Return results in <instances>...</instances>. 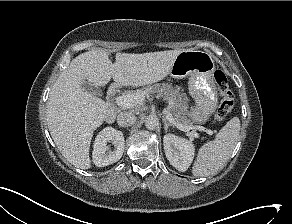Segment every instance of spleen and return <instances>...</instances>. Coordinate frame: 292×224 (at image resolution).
Here are the masks:
<instances>
[{
    "instance_id": "1",
    "label": "spleen",
    "mask_w": 292,
    "mask_h": 224,
    "mask_svg": "<svg viewBox=\"0 0 292 224\" xmlns=\"http://www.w3.org/2000/svg\"><path fill=\"white\" fill-rule=\"evenodd\" d=\"M239 133L240 120L238 117H233L218 132L213 141L204 144L199 149L192 174L203 177L222 170L237 144Z\"/></svg>"
}]
</instances>
